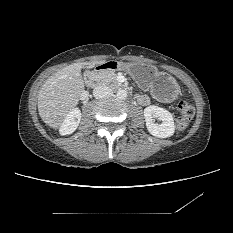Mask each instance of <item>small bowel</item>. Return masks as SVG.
I'll list each match as a JSON object with an SVG mask.
<instances>
[{
    "instance_id": "c3829d8e",
    "label": "small bowel",
    "mask_w": 233,
    "mask_h": 233,
    "mask_svg": "<svg viewBox=\"0 0 233 233\" xmlns=\"http://www.w3.org/2000/svg\"><path fill=\"white\" fill-rule=\"evenodd\" d=\"M137 100L143 106H146L150 103V99L147 95H138Z\"/></svg>"
}]
</instances>
